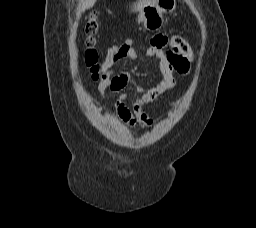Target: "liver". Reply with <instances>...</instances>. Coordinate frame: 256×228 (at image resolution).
Listing matches in <instances>:
<instances>
[{
  "label": "liver",
  "instance_id": "1",
  "mask_svg": "<svg viewBox=\"0 0 256 228\" xmlns=\"http://www.w3.org/2000/svg\"><path fill=\"white\" fill-rule=\"evenodd\" d=\"M97 0H82L81 7L77 11V16H79L82 12L86 9L92 8ZM153 0H138L136 3L133 4L132 11H140L143 7L152 3Z\"/></svg>",
  "mask_w": 256,
  "mask_h": 228
}]
</instances>
